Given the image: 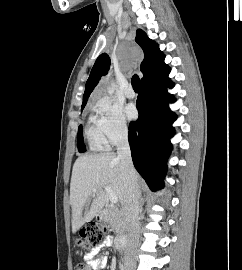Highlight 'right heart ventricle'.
Instances as JSON below:
<instances>
[{"mask_svg": "<svg viewBox=\"0 0 242 270\" xmlns=\"http://www.w3.org/2000/svg\"><path fill=\"white\" fill-rule=\"evenodd\" d=\"M85 136L91 150L99 151L107 147L105 137L99 126L98 117L95 115H90L89 117V121L85 129Z\"/></svg>", "mask_w": 242, "mask_h": 270, "instance_id": "e07e8e85", "label": "right heart ventricle"}]
</instances>
